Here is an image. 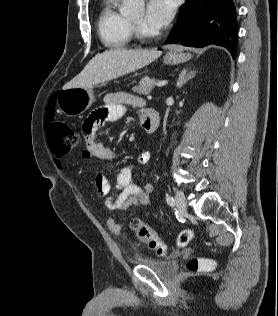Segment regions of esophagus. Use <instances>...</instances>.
I'll list each match as a JSON object with an SVG mask.
<instances>
[{
  "instance_id": "34e87169",
  "label": "esophagus",
  "mask_w": 278,
  "mask_h": 316,
  "mask_svg": "<svg viewBox=\"0 0 278 316\" xmlns=\"http://www.w3.org/2000/svg\"><path fill=\"white\" fill-rule=\"evenodd\" d=\"M175 50L173 49V48H171L170 50H169V53H173Z\"/></svg>"
}]
</instances>
